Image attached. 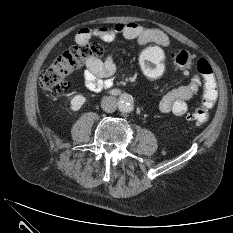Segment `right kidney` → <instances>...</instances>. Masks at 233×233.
Wrapping results in <instances>:
<instances>
[{"label":"right kidney","mask_w":233,"mask_h":233,"mask_svg":"<svg viewBox=\"0 0 233 233\" xmlns=\"http://www.w3.org/2000/svg\"><path fill=\"white\" fill-rule=\"evenodd\" d=\"M86 102V97L83 95H76L70 100V109L72 111H78L82 105Z\"/></svg>","instance_id":"right-kidney-1"}]
</instances>
